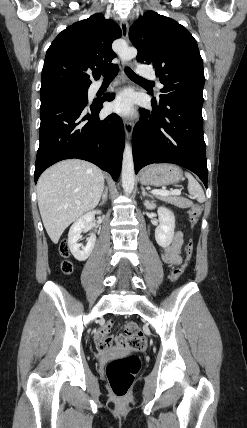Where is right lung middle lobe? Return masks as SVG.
<instances>
[{
	"mask_svg": "<svg viewBox=\"0 0 247 428\" xmlns=\"http://www.w3.org/2000/svg\"><path fill=\"white\" fill-rule=\"evenodd\" d=\"M88 87H66L40 93L41 104L53 101L87 102Z\"/></svg>",
	"mask_w": 247,
	"mask_h": 428,
	"instance_id": "1",
	"label": "right lung middle lobe"
}]
</instances>
